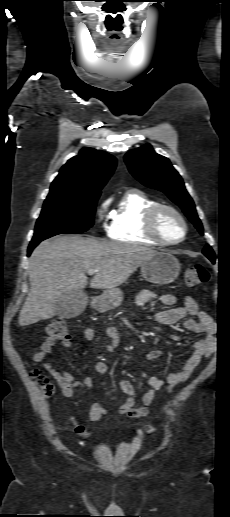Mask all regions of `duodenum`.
I'll return each mask as SVG.
<instances>
[{
	"mask_svg": "<svg viewBox=\"0 0 230 517\" xmlns=\"http://www.w3.org/2000/svg\"><path fill=\"white\" fill-rule=\"evenodd\" d=\"M99 301H100V299H98V298H97V299H95V302H99Z\"/></svg>",
	"mask_w": 230,
	"mask_h": 517,
	"instance_id": "1",
	"label": "duodenum"
}]
</instances>
